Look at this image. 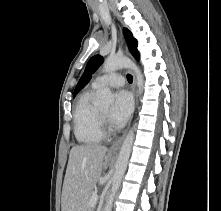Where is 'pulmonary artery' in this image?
<instances>
[{
	"label": "pulmonary artery",
	"mask_w": 221,
	"mask_h": 211,
	"mask_svg": "<svg viewBox=\"0 0 221 211\" xmlns=\"http://www.w3.org/2000/svg\"><path fill=\"white\" fill-rule=\"evenodd\" d=\"M124 77L120 74H108L98 76L92 83L93 86L100 88L103 86L120 87L124 84Z\"/></svg>",
	"instance_id": "1"
}]
</instances>
